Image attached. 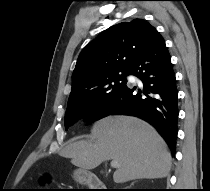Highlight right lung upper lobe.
<instances>
[{"instance_id": "1", "label": "right lung upper lobe", "mask_w": 210, "mask_h": 191, "mask_svg": "<svg viewBox=\"0 0 210 191\" xmlns=\"http://www.w3.org/2000/svg\"><path fill=\"white\" fill-rule=\"evenodd\" d=\"M159 35L155 27L142 19L122 22L101 32L78 57L69 98L90 89L95 80L106 73L130 69L136 58Z\"/></svg>"}]
</instances>
